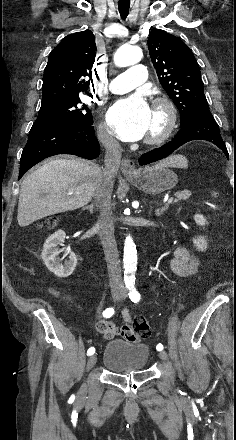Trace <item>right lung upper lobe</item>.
Returning a JSON list of instances; mask_svg holds the SVG:
<instances>
[{"label":"right lung upper lobe","mask_w":236,"mask_h":440,"mask_svg":"<svg viewBox=\"0 0 236 440\" xmlns=\"http://www.w3.org/2000/svg\"><path fill=\"white\" fill-rule=\"evenodd\" d=\"M95 51V36L90 30L64 37L49 54L43 74L41 105L79 97L80 92L86 91Z\"/></svg>","instance_id":"cb5924a9"}]
</instances>
